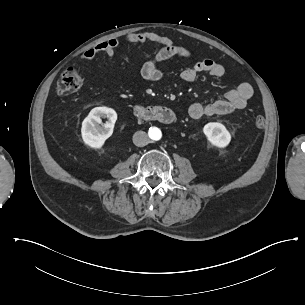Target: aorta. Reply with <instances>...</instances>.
<instances>
[{"mask_svg":"<svg viewBox=\"0 0 305 305\" xmlns=\"http://www.w3.org/2000/svg\"><path fill=\"white\" fill-rule=\"evenodd\" d=\"M161 138V132H158L156 136H153V139L159 140Z\"/></svg>","mask_w":305,"mask_h":305,"instance_id":"1","label":"aorta"}]
</instances>
